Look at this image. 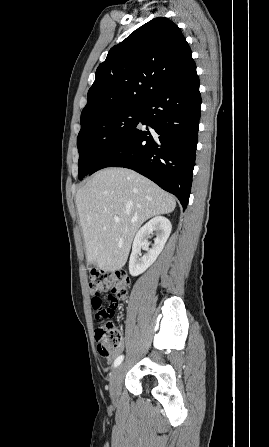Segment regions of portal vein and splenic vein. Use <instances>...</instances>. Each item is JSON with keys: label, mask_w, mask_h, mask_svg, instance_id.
<instances>
[{"label": "portal vein and splenic vein", "mask_w": 269, "mask_h": 447, "mask_svg": "<svg viewBox=\"0 0 269 447\" xmlns=\"http://www.w3.org/2000/svg\"><path fill=\"white\" fill-rule=\"evenodd\" d=\"M114 222H120V218H118V216H114ZM131 222H137V220H131Z\"/></svg>", "instance_id": "18ae733b"}]
</instances>
